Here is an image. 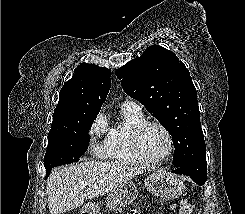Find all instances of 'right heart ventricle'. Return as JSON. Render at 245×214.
<instances>
[{"instance_id":"e07e8e85","label":"right heart ventricle","mask_w":245,"mask_h":214,"mask_svg":"<svg viewBox=\"0 0 245 214\" xmlns=\"http://www.w3.org/2000/svg\"><path fill=\"white\" fill-rule=\"evenodd\" d=\"M120 112L122 121L110 127L107 157L118 162L136 163L138 160L131 151L129 133L131 128L144 121L145 117L142 108L131 101L122 103Z\"/></svg>"}]
</instances>
